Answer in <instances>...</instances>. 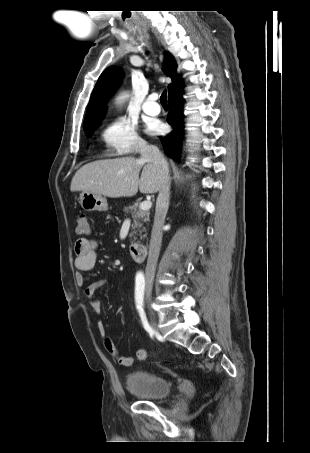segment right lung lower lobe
Here are the masks:
<instances>
[{
  "label": "right lung lower lobe",
  "instance_id": "obj_1",
  "mask_svg": "<svg viewBox=\"0 0 310 453\" xmlns=\"http://www.w3.org/2000/svg\"><path fill=\"white\" fill-rule=\"evenodd\" d=\"M182 88V81L179 80L169 91L167 122L173 127V130L165 137H160L165 153L176 161H179L183 137Z\"/></svg>",
  "mask_w": 310,
  "mask_h": 453
}]
</instances>
